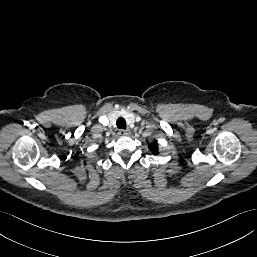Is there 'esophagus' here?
I'll use <instances>...</instances> for the list:
<instances>
[{"mask_svg":"<svg viewBox=\"0 0 257 257\" xmlns=\"http://www.w3.org/2000/svg\"><path fill=\"white\" fill-rule=\"evenodd\" d=\"M119 134L120 135H129L130 134V130H125V129H121L120 131H119Z\"/></svg>","mask_w":257,"mask_h":257,"instance_id":"1","label":"esophagus"}]
</instances>
